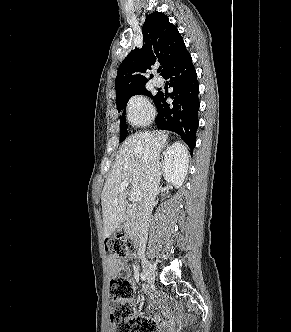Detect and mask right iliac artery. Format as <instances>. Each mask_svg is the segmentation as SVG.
Segmentation results:
<instances>
[{
  "label": "right iliac artery",
  "instance_id": "82829eb1",
  "mask_svg": "<svg viewBox=\"0 0 291 332\" xmlns=\"http://www.w3.org/2000/svg\"><path fill=\"white\" fill-rule=\"evenodd\" d=\"M140 276H141V280H143V281H145V280H146V275H145V273H144V272H142Z\"/></svg>",
  "mask_w": 291,
  "mask_h": 332
}]
</instances>
